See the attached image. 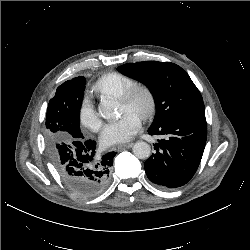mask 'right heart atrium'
Masks as SVG:
<instances>
[{
  "mask_svg": "<svg viewBox=\"0 0 250 250\" xmlns=\"http://www.w3.org/2000/svg\"><path fill=\"white\" fill-rule=\"evenodd\" d=\"M79 120L81 125L90 131H97L101 126V121L89 97H86L82 102L79 111Z\"/></svg>",
  "mask_w": 250,
  "mask_h": 250,
  "instance_id": "obj_1",
  "label": "right heart atrium"
}]
</instances>
